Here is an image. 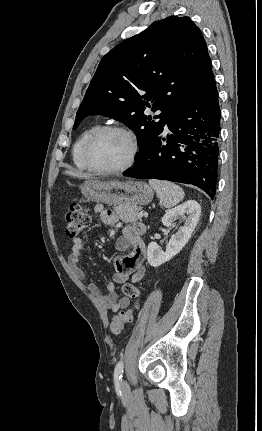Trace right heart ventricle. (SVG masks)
<instances>
[{"label": "right heart ventricle", "instance_id": "e07e8e85", "mask_svg": "<svg viewBox=\"0 0 262 431\" xmlns=\"http://www.w3.org/2000/svg\"><path fill=\"white\" fill-rule=\"evenodd\" d=\"M99 128H100L99 124H95L89 127L79 135V137L73 144L71 157H72L73 165L78 170L90 171V169L87 167L86 163L84 162L83 150L87 139L91 136V134H93Z\"/></svg>", "mask_w": 262, "mask_h": 431}]
</instances>
